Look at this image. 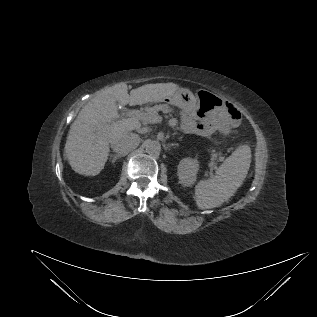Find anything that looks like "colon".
Masks as SVG:
<instances>
[{
  "mask_svg": "<svg viewBox=\"0 0 317 317\" xmlns=\"http://www.w3.org/2000/svg\"><path fill=\"white\" fill-rule=\"evenodd\" d=\"M227 112L231 120L236 123L240 119V113L236 108H234L232 105H227Z\"/></svg>",
  "mask_w": 317,
  "mask_h": 317,
  "instance_id": "5ec220e1",
  "label": "colon"
}]
</instances>
